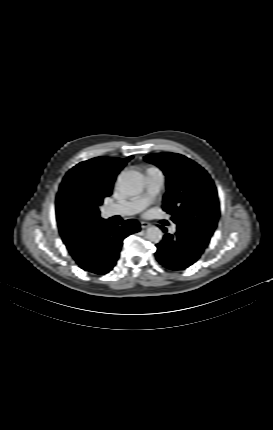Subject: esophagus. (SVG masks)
<instances>
[{"instance_id":"1","label":"esophagus","mask_w":273,"mask_h":430,"mask_svg":"<svg viewBox=\"0 0 273 430\" xmlns=\"http://www.w3.org/2000/svg\"><path fill=\"white\" fill-rule=\"evenodd\" d=\"M149 226H151V224L149 222H145V221L141 222V228L142 229L148 228Z\"/></svg>"}]
</instances>
